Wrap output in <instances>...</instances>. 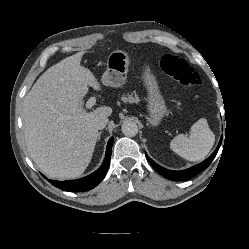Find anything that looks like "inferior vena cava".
Returning a JSON list of instances; mask_svg holds the SVG:
<instances>
[{
    "instance_id": "1",
    "label": "inferior vena cava",
    "mask_w": 249,
    "mask_h": 249,
    "mask_svg": "<svg viewBox=\"0 0 249 249\" xmlns=\"http://www.w3.org/2000/svg\"><path fill=\"white\" fill-rule=\"evenodd\" d=\"M108 123V118L107 117H101V118H98L95 122V127L97 129H103L105 128V126L107 125Z\"/></svg>"
}]
</instances>
